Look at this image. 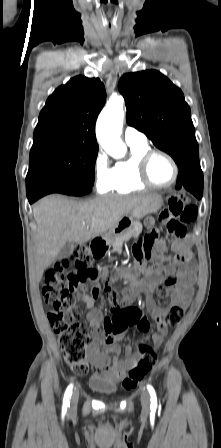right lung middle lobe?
Segmentation results:
<instances>
[{
  "mask_svg": "<svg viewBox=\"0 0 221 448\" xmlns=\"http://www.w3.org/2000/svg\"><path fill=\"white\" fill-rule=\"evenodd\" d=\"M98 146L56 143L31 148L26 181L56 180L77 188L92 187Z\"/></svg>",
  "mask_w": 221,
  "mask_h": 448,
  "instance_id": "obj_1",
  "label": "right lung middle lobe"
}]
</instances>
